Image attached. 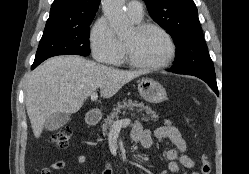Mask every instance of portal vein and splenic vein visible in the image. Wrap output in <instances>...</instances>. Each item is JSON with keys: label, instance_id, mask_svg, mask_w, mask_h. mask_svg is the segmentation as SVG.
<instances>
[{"label": "portal vein and splenic vein", "instance_id": "portal-vein-and-splenic-vein-1", "mask_svg": "<svg viewBox=\"0 0 249 174\" xmlns=\"http://www.w3.org/2000/svg\"><path fill=\"white\" fill-rule=\"evenodd\" d=\"M98 95L96 92L91 94V100L95 101L97 99ZM131 123V120L126 118V119H122V120H117L114 121L112 124V130H120L122 127L127 126Z\"/></svg>", "mask_w": 249, "mask_h": 174}]
</instances>
